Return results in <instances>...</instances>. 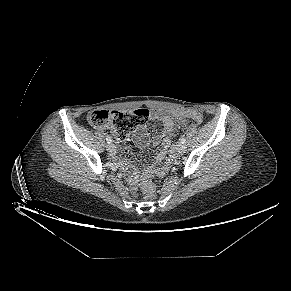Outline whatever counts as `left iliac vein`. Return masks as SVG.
<instances>
[{"instance_id": "4c4485c4", "label": "left iliac vein", "mask_w": 291, "mask_h": 291, "mask_svg": "<svg viewBox=\"0 0 291 291\" xmlns=\"http://www.w3.org/2000/svg\"><path fill=\"white\" fill-rule=\"evenodd\" d=\"M177 150L180 152V153H184L186 151V145L185 144H178L177 146Z\"/></svg>"}]
</instances>
